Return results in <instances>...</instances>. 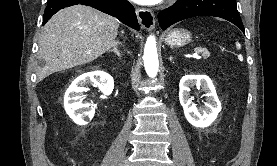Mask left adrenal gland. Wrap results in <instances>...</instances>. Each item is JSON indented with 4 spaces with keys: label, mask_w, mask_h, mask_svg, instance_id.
Here are the masks:
<instances>
[{
    "label": "left adrenal gland",
    "mask_w": 277,
    "mask_h": 166,
    "mask_svg": "<svg viewBox=\"0 0 277 166\" xmlns=\"http://www.w3.org/2000/svg\"><path fill=\"white\" fill-rule=\"evenodd\" d=\"M169 60H170V62H172V60H173V57H172V56H170V57H169Z\"/></svg>",
    "instance_id": "1"
}]
</instances>
